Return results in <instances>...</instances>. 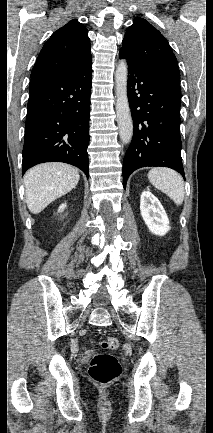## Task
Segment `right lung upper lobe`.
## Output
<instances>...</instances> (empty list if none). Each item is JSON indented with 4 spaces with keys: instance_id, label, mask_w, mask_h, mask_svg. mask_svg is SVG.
<instances>
[{
    "instance_id": "right-lung-upper-lobe-1",
    "label": "right lung upper lobe",
    "mask_w": 213,
    "mask_h": 433,
    "mask_svg": "<svg viewBox=\"0 0 213 433\" xmlns=\"http://www.w3.org/2000/svg\"><path fill=\"white\" fill-rule=\"evenodd\" d=\"M92 63L88 30L72 20L55 31L43 46L31 78L58 77L77 72Z\"/></svg>"
}]
</instances>
